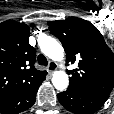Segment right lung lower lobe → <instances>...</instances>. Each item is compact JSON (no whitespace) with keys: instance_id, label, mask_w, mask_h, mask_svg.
I'll return each mask as SVG.
<instances>
[{"instance_id":"obj_1","label":"right lung lower lobe","mask_w":114,"mask_h":114,"mask_svg":"<svg viewBox=\"0 0 114 114\" xmlns=\"http://www.w3.org/2000/svg\"><path fill=\"white\" fill-rule=\"evenodd\" d=\"M43 80L1 99L0 114H18L30 108L36 101V92Z\"/></svg>"}]
</instances>
